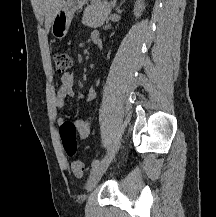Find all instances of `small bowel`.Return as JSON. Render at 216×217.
Returning a JSON list of instances; mask_svg holds the SVG:
<instances>
[{"label": "small bowel", "instance_id": "1", "mask_svg": "<svg viewBox=\"0 0 216 217\" xmlns=\"http://www.w3.org/2000/svg\"><path fill=\"white\" fill-rule=\"evenodd\" d=\"M94 36H98L97 32H93L91 34V39L93 40ZM96 95V90L94 87H91L87 93L85 104L88 105L91 100L94 99ZM75 96L74 90V75L71 72L64 73L61 76V85L59 90L54 98V105L56 108L61 109L65 105V101L67 98H73ZM65 120L61 117L57 118V125L61 130ZM76 135L80 140L86 139L90 134V121L87 118H79L75 122Z\"/></svg>", "mask_w": 216, "mask_h": 217}]
</instances>
